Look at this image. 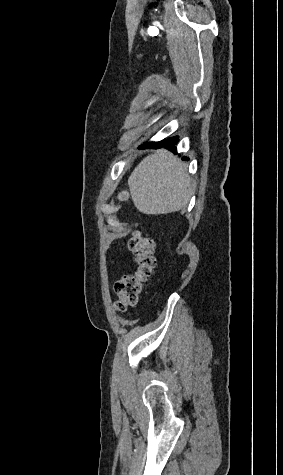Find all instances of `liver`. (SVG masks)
Listing matches in <instances>:
<instances>
[{
    "instance_id": "6515ba94",
    "label": "liver",
    "mask_w": 283,
    "mask_h": 475,
    "mask_svg": "<svg viewBox=\"0 0 283 475\" xmlns=\"http://www.w3.org/2000/svg\"><path fill=\"white\" fill-rule=\"evenodd\" d=\"M190 184L187 166L168 150L144 158L128 178L134 206L142 214L179 212L188 204Z\"/></svg>"
}]
</instances>
